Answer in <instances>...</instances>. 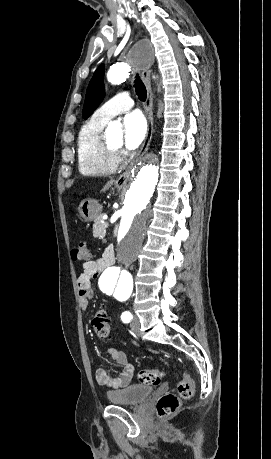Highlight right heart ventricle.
<instances>
[{
  "label": "right heart ventricle",
  "mask_w": 271,
  "mask_h": 459,
  "mask_svg": "<svg viewBox=\"0 0 271 459\" xmlns=\"http://www.w3.org/2000/svg\"><path fill=\"white\" fill-rule=\"evenodd\" d=\"M105 124L106 122L92 116L79 129L76 141V163L78 172L82 176L110 174L118 167L117 157L109 155L103 144L102 130Z\"/></svg>",
  "instance_id": "1"
}]
</instances>
